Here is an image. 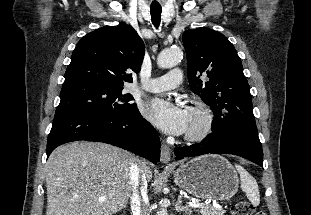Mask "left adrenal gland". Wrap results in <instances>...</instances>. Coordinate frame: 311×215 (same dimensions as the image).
<instances>
[{
  "instance_id": "left-adrenal-gland-1",
  "label": "left adrenal gland",
  "mask_w": 311,
  "mask_h": 215,
  "mask_svg": "<svg viewBox=\"0 0 311 215\" xmlns=\"http://www.w3.org/2000/svg\"><path fill=\"white\" fill-rule=\"evenodd\" d=\"M175 209L177 212H184L185 214L191 215L192 209L187 205H182V197L178 196V200L175 204Z\"/></svg>"
}]
</instances>
